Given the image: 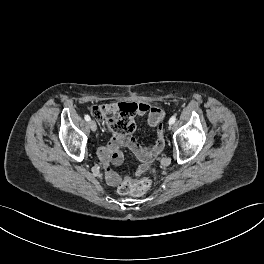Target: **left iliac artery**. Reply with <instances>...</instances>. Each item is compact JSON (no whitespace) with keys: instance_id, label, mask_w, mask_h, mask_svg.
<instances>
[{"instance_id":"44dca946","label":"left iliac artery","mask_w":264,"mask_h":264,"mask_svg":"<svg viewBox=\"0 0 264 264\" xmlns=\"http://www.w3.org/2000/svg\"><path fill=\"white\" fill-rule=\"evenodd\" d=\"M175 121H176V116H172L171 118H170V120H169V124H174L175 123Z\"/></svg>"}]
</instances>
